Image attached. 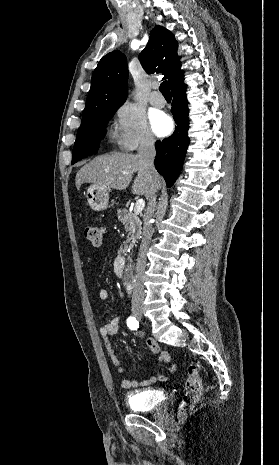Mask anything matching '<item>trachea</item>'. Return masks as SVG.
I'll list each match as a JSON object with an SVG mask.
<instances>
[{
    "label": "trachea",
    "mask_w": 279,
    "mask_h": 465,
    "mask_svg": "<svg viewBox=\"0 0 279 465\" xmlns=\"http://www.w3.org/2000/svg\"><path fill=\"white\" fill-rule=\"evenodd\" d=\"M159 89H160V92L163 94V96H171L168 82L166 80L161 83Z\"/></svg>",
    "instance_id": "3493384b"
}]
</instances>
